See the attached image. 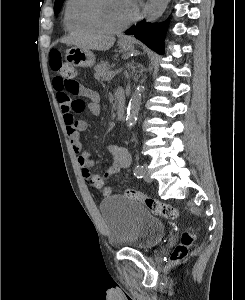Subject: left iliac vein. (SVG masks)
<instances>
[{"label": "left iliac vein", "mask_w": 245, "mask_h": 300, "mask_svg": "<svg viewBox=\"0 0 245 300\" xmlns=\"http://www.w3.org/2000/svg\"><path fill=\"white\" fill-rule=\"evenodd\" d=\"M142 174H143V178L146 182H152V179L150 177V173H149V170H148V167L146 164H144L143 166V171H142Z\"/></svg>", "instance_id": "4c4485c4"}]
</instances>
